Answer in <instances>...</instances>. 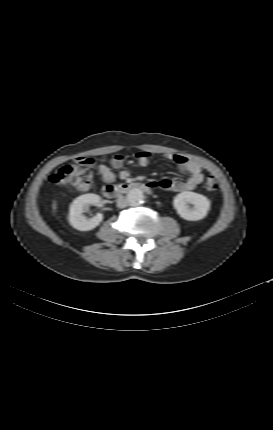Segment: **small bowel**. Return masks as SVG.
I'll return each mask as SVG.
<instances>
[{
  "instance_id": "small-bowel-1",
  "label": "small bowel",
  "mask_w": 273,
  "mask_h": 430,
  "mask_svg": "<svg viewBox=\"0 0 273 430\" xmlns=\"http://www.w3.org/2000/svg\"><path fill=\"white\" fill-rule=\"evenodd\" d=\"M163 156L168 160L175 163L179 169L188 175L186 180H159L151 183L153 187L162 188L166 191L182 192L193 190L204 179L203 167L182 155L175 153H164ZM151 154L147 151H141L137 153L136 159L140 166L146 167L150 163ZM89 166L95 169L96 173L106 182L112 183L116 179V174L112 169L119 170V177L121 179H127L130 176V172L126 169H122L124 165V157L122 155H113L109 163H96L93 159L87 158Z\"/></svg>"
}]
</instances>
